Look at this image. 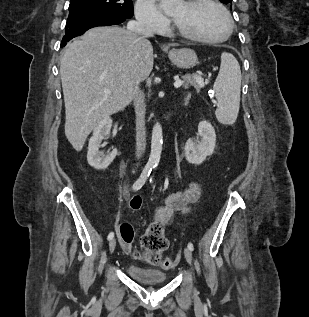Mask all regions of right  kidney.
<instances>
[{
	"label": "right kidney",
	"instance_id": "ca27d5eb",
	"mask_svg": "<svg viewBox=\"0 0 309 317\" xmlns=\"http://www.w3.org/2000/svg\"><path fill=\"white\" fill-rule=\"evenodd\" d=\"M112 127L111 118L103 119L93 131V135L89 140L87 161L90 166L96 170H105L117 155V149H113L108 154H104L99 150L102 140L110 133Z\"/></svg>",
	"mask_w": 309,
	"mask_h": 317
}]
</instances>
